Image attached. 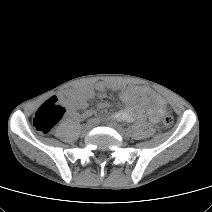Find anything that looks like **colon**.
Wrapping results in <instances>:
<instances>
[{
	"label": "colon",
	"mask_w": 212,
	"mask_h": 212,
	"mask_svg": "<svg viewBox=\"0 0 212 212\" xmlns=\"http://www.w3.org/2000/svg\"><path fill=\"white\" fill-rule=\"evenodd\" d=\"M65 112V107L59 103L55 96H52L35 112L33 125L39 133L47 134L59 123ZM173 122V116L165 115L163 117V124L165 126H171Z\"/></svg>",
	"instance_id": "5ec220e1"
}]
</instances>
